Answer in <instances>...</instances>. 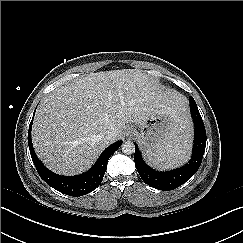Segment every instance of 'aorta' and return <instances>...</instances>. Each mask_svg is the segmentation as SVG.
Here are the masks:
<instances>
[{
  "label": "aorta",
  "instance_id": "762f6f07",
  "mask_svg": "<svg viewBox=\"0 0 243 243\" xmlns=\"http://www.w3.org/2000/svg\"><path fill=\"white\" fill-rule=\"evenodd\" d=\"M121 149H122V152L123 153L129 155V154L134 153V151H135V145L131 141H126V142H124L122 144Z\"/></svg>",
  "mask_w": 243,
  "mask_h": 243
}]
</instances>
